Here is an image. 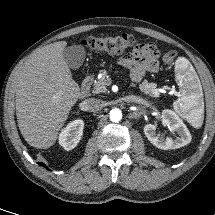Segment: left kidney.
Wrapping results in <instances>:
<instances>
[{"label":"left kidney","instance_id":"1","mask_svg":"<svg viewBox=\"0 0 215 215\" xmlns=\"http://www.w3.org/2000/svg\"><path fill=\"white\" fill-rule=\"evenodd\" d=\"M162 123L171 131L177 132L175 139L164 138L156 133L154 124H147L144 127V133L148 140L157 148L168 150L183 147L191 142V134L179 116L172 110H164L161 115Z\"/></svg>","mask_w":215,"mask_h":215}]
</instances>
